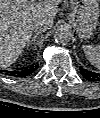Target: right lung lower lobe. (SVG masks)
Instances as JSON below:
<instances>
[{"mask_svg": "<svg viewBox=\"0 0 100 118\" xmlns=\"http://www.w3.org/2000/svg\"><path fill=\"white\" fill-rule=\"evenodd\" d=\"M37 68H38V65H32L29 68H25V69H23L21 71H17V72H11V71H9L7 73V75L16 76V77H25V76L30 75Z\"/></svg>", "mask_w": 100, "mask_h": 118, "instance_id": "1", "label": "right lung lower lobe"}]
</instances>
